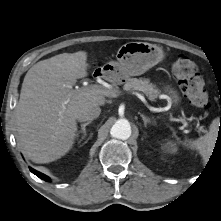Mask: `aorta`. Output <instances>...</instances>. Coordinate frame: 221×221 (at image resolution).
Returning <instances> with one entry per match:
<instances>
[{
    "mask_svg": "<svg viewBox=\"0 0 221 221\" xmlns=\"http://www.w3.org/2000/svg\"><path fill=\"white\" fill-rule=\"evenodd\" d=\"M110 134L118 139L127 140L131 136V125L127 119H118L111 128Z\"/></svg>",
    "mask_w": 221,
    "mask_h": 221,
    "instance_id": "762f6f07",
    "label": "aorta"
}]
</instances>
